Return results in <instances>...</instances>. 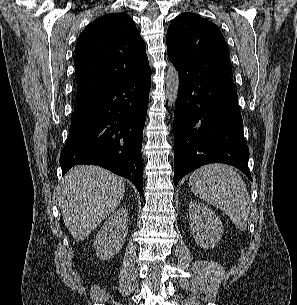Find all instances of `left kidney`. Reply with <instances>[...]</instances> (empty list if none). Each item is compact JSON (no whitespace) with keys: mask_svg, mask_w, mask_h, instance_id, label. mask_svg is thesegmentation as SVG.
Returning a JSON list of instances; mask_svg holds the SVG:
<instances>
[{"mask_svg":"<svg viewBox=\"0 0 297 305\" xmlns=\"http://www.w3.org/2000/svg\"><path fill=\"white\" fill-rule=\"evenodd\" d=\"M188 213L190 231L197 245L205 249L214 247L223 234L222 222L216 213L197 201L189 203Z\"/></svg>","mask_w":297,"mask_h":305,"instance_id":"left-kidney-1","label":"left kidney"}]
</instances>
